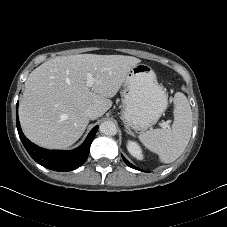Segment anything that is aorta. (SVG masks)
Returning <instances> with one entry per match:
<instances>
[{
	"label": "aorta",
	"mask_w": 227,
	"mask_h": 227,
	"mask_svg": "<svg viewBox=\"0 0 227 227\" xmlns=\"http://www.w3.org/2000/svg\"><path fill=\"white\" fill-rule=\"evenodd\" d=\"M99 130L102 134L113 136L117 133L116 124L113 121H104L100 124Z\"/></svg>",
	"instance_id": "aorta-1"
}]
</instances>
